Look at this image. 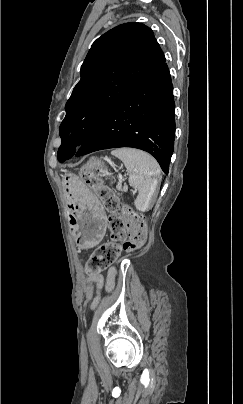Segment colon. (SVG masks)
Wrapping results in <instances>:
<instances>
[{"instance_id": "5ec220e1", "label": "colon", "mask_w": 243, "mask_h": 404, "mask_svg": "<svg viewBox=\"0 0 243 404\" xmlns=\"http://www.w3.org/2000/svg\"><path fill=\"white\" fill-rule=\"evenodd\" d=\"M100 163L91 160L81 172L86 184L95 192L108 215V227L111 240L99 246L90 256L86 271L94 275L115 261L122 251H133L140 248L146 240V225L144 219L125 208L120 211V200L117 193L103 184L97 175Z\"/></svg>"}]
</instances>
